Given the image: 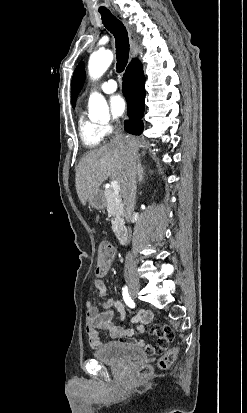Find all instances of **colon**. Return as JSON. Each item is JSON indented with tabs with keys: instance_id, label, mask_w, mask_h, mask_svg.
Masks as SVG:
<instances>
[{
	"instance_id": "1",
	"label": "colon",
	"mask_w": 247,
	"mask_h": 413,
	"mask_svg": "<svg viewBox=\"0 0 247 413\" xmlns=\"http://www.w3.org/2000/svg\"><path fill=\"white\" fill-rule=\"evenodd\" d=\"M115 257H116V248L114 246H110V244H107V243L96 245V267L97 268L93 270V273L95 275H98L99 273L102 275L109 274V259H114ZM173 349L174 350H171V351H168V353H165L164 357L159 358L158 364L161 368H169L172 366L176 358V354H177L176 350L180 349V344L174 343ZM149 372H150L149 367L142 368L140 378L142 380H145Z\"/></svg>"
}]
</instances>
